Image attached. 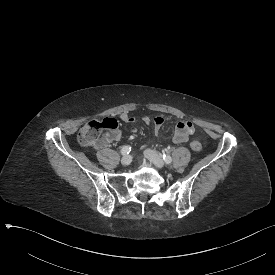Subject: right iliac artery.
I'll use <instances>...</instances> for the list:
<instances>
[{
	"label": "right iliac artery",
	"mask_w": 275,
	"mask_h": 275,
	"mask_svg": "<svg viewBox=\"0 0 275 275\" xmlns=\"http://www.w3.org/2000/svg\"><path fill=\"white\" fill-rule=\"evenodd\" d=\"M130 151H131V146H129V145H124V146L122 147V149H121V154H122V155H127V154L130 153Z\"/></svg>",
	"instance_id": "1"
}]
</instances>
